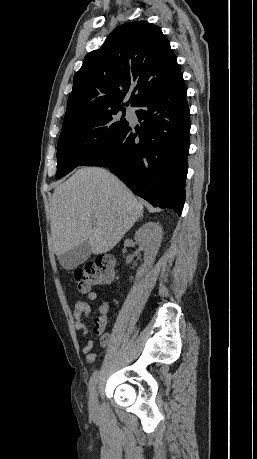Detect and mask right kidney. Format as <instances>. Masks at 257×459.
Returning <instances> with one entry per match:
<instances>
[{"label":"right kidney","instance_id":"obj_1","mask_svg":"<svg viewBox=\"0 0 257 459\" xmlns=\"http://www.w3.org/2000/svg\"><path fill=\"white\" fill-rule=\"evenodd\" d=\"M163 237L162 228L159 223L148 222L141 226L135 233V241L139 248L144 251V269L138 271L137 275L141 276L149 270L156 258Z\"/></svg>","mask_w":257,"mask_h":459}]
</instances>
